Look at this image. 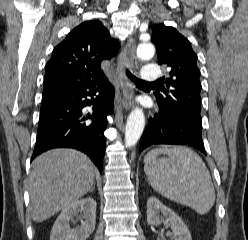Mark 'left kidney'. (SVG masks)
<instances>
[{
	"label": "left kidney",
	"mask_w": 248,
	"mask_h": 240,
	"mask_svg": "<svg viewBox=\"0 0 248 240\" xmlns=\"http://www.w3.org/2000/svg\"><path fill=\"white\" fill-rule=\"evenodd\" d=\"M163 221L170 222L175 240H192L190 231L182 219L157 198L150 197L147 201V223L158 225Z\"/></svg>",
	"instance_id": "obj_1"
}]
</instances>
